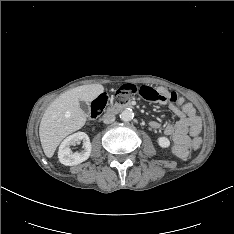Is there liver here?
I'll use <instances>...</instances> for the list:
<instances>
[{"label": "liver", "instance_id": "liver-1", "mask_svg": "<svg viewBox=\"0 0 234 234\" xmlns=\"http://www.w3.org/2000/svg\"><path fill=\"white\" fill-rule=\"evenodd\" d=\"M103 91L101 84L78 86L60 95L47 107L39 127L41 145L47 157L54 155L67 135L86 123L87 117L80 107V101L89 103Z\"/></svg>", "mask_w": 234, "mask_h": 234}]
</instances>
